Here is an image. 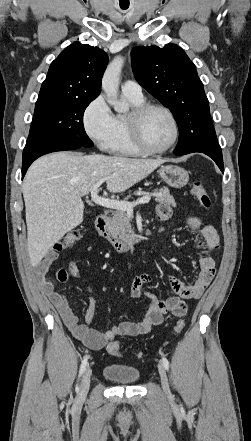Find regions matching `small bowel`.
Masks as SVG:
<instances>
[{
    "label": "small bowel",
    "instance_id": "small-bowel-1",
    "mask_svg": "<svg viewBox=\"0 0 251 441\" xmlns=\"http://www.w3.org/2000/svg\"><path fill=\"white\" fill-rule=\"evenodd\" d=\"M159 221H166L171 218V210L166 205H159L156 210ZM184 222L194 231L199 232L196 239V247L206 252L214 251L219 246V236L212 225L205 224L203 219L195 215H187ZM57 253L49 252L46 257L35 265V273L43 293L49 297L51 302L59 311L66 327L73 336L81 341L85 346L92 350H100L117 336H140L148 333L153 326L159 325L167 313L175 316H183L187 311V300H195L202 296L206 288L213 280L216 272L215 259L210 255H205L200 259V271L193 284H186L174 276H169L168 282L174 295L165 299H159L154 293L142 288L145 284L152 281L149 273H142L135 276L130 284L129 294L133 299H138L145 295L149 301V306L144 317L139 322H122L111 329L100 332L91 327L95 315V300L90 297L85 313V323H80L78 316L70 306L67 297L55 290L54 285L45 279L51 264L56 260ZM69 270L72 275L78 276L79 269L74 261L69 263ZM92 288L90 287V291Z\"/></svg>",
    "mask_w": 251,
    "mask_h": 441
}]
</instances>
